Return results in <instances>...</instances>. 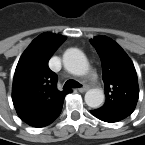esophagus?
Instances as JSON below:
<instances>
[{"mask_svg": "<svg viewBox=\"0 0 145 145\" xmlns=\"http://www.w3.org/2000/svg\"><path fill=\"white\" fill-rule=\"evenodd\" d=\"M89 89V86L88 85H83L81 88H79V92L83 93L85 91H87Z\"/></svg>", "mask_w": 145, "mask_h": 145, "instance_id": "obj_1", "label": "esophagus"}]
</instances>
